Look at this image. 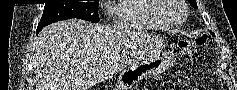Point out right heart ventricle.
Returning a JSON list of instances; mask_svg holds the SVG:
<instances>
[{
    "mask_svg": "<svg viewBox=\"0 0 237 90\" xmlns=\"http://www.w3.org/2000/svg\"><path fill=\"white\" fill-rule=\"evenodd\" d=\"M154 7H160L155 0H118L109 7L112 20L108 24H114V28L162 29L152 17L157 14H149Z\"/></svg>",
    "mask_w": 237,
    "mask_h": 90,
    "instance_id": "e07e8e85",
    "label": "right heart ventricle"
}]
</instances>
